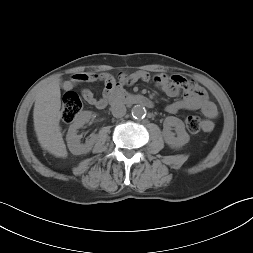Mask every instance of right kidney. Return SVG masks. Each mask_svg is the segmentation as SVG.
Wrapping results in <instances>:
<instances>
[{"instance_id": "ca27d5eb", "label": "right kidney", "mask_w": 253, "mask_h": 253, "mask_svg": "<svg viewBox=\"0 0 253 253\" xmlns=\"http://www.w3.org/2000/svg\"><path fill=\"white\" fill-rule=\"evenodd\" d=\"M91 117L92 113L90 111H84L74 120L68 129L66 136L67 146L70 152L74 155L86 154L90 152L97 140V136L91 134L90 138L86 140V143L81 144V137L77 134L78 129L81 128L86 122H88Z\"/></svg>"}]
</instances>
